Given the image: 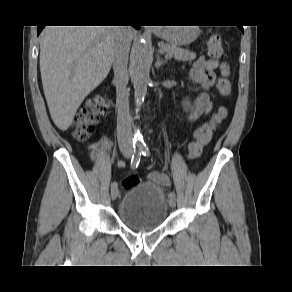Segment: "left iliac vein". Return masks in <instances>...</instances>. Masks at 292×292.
Listing matches in <instances>:
<instances>
[{
    "label": "left iliac vein",
    "instance_id": "4c4485c4",
    "mask_svg": "<svg viewBox=\"0 0 292 292\" xmlns=\"http://www.w3.org/2000/svg\"><path fill=\"white\" fill-rule=\"evenodd\" d=\"M169 205H170V207H175V205H176V202H175V198H170L169 199Z\"/></svg>",
    "mask_w": 292,
    "mask_h": 292
}]
</instances>
